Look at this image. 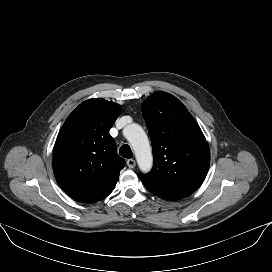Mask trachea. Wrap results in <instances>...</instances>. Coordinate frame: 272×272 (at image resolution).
Returning <instances> with one entry per match:
<instances>
[{
	"label": "trachea",
	"instance_id": "obj_1",
	"mask_svg": "<svg viewBox=\"0 0 272 272\" xmlns=\"http://www.w3.org/2000/svg\"><path fill=\"white\" fill-rule=\"evenodd\" d=\"M119 154L124 158H132L133 153L129 145L124 144L119 149Z\"/></svg>",
	"mask_w": 272,
	"mask_h": 272
}]
</instances>
